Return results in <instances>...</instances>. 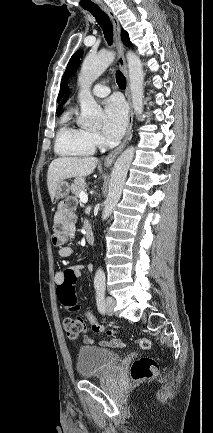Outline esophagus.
Wrapping results in <instances>:
<instances>
[{
  "mask_svg": "<svg viewBox=\"0 0 213 433\" xmlns=\"http://www.w3.org/2000/svg\"><path fill=\"white\" fill-rule=\"evenodd\" d=\"M104 11L108 14L113 28H114V38H115V44L118 50V64L120 66V68L122 69L126 79H127V89H126V96L130 105V112H129V117H128V127H127V133L126 136L123 140V142L117 147L115 148L113 151H111L106 158L104 159V165L105 166H111L115 159L117 158V156L122 152V150L124 149V147L126 146V144L128 143V141L131 139L132 137V127H133V106H132V102H131V96H130V88H129V75H128V68H127V64H126V60H125V56H124V45L121 41V37H120V24L119 21L117 19V17L115 16V14L113 13V11L108 8L107 6H103Z\"/></svg>",
  "mask_w": 213,
  "mask_h": 433,
  "instance_id": "1",
  "label": "esophagus"
}]
</instances>
